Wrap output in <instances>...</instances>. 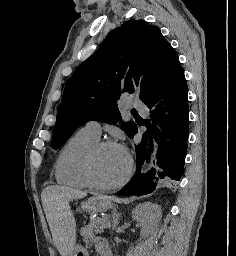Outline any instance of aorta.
<instances>
[{"mask_svg":"<svg viewBox=\"0 0 236 256\" xmlns=\"http://www.w3.org/2000/svg\"><path fill=\"white\" fill-rule=\"evenodd\" d=\"M158 151V143L154 140L153 141V151L151 152L150 161L152 162L155 159V155Z\"/></svg>","mask_w":236,"mask_h":256,"instance_id":"762f6f07","label":"aorta"}]
</instances>
